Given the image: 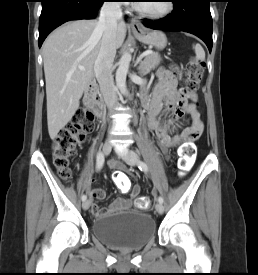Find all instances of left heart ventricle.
I'll list each match as a JSON object with an SVG mask.
<instances>
[{
    "label": "left heart ventricle",
    "mask_w": 258,
    "mask_h": 275,
    "mask_svg": "<svg viewBox=\"0 0 258 275\" xmlns=\"http://www.w3.org/2000/svg\"><path fill=\"white\" fill-rule=\"evenodd\" d=\"M138 5L145 10L158 13L165 9L166 1H145V3H139Z\"/></svg>",
    "instance_id": "obj_1"
}]
</instances>
